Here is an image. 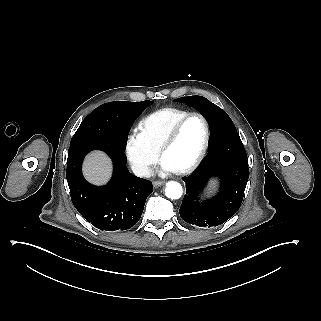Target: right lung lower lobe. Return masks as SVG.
Wrapping results in <instances>:
<instances>
[{
    "instance_id": "obj_1",
    "label": "right lung lower lobe",
    "mask_w": 321,
    "mask_h": 321,
    "mask_svg": "<svg viewBox=\"0 0 321 321\" xmlns=\"http://www.w3.org/2000/svg\"><path fill=\"white\" fill-rule=\"evenodd\" d=\"M99 108L114 144L83 143L70 147L66 178L72 203L88 222L104 231L126 230L139 221L146 198L153 191L150 181L127 170L124 154L130 128L144 110L125 101L106 103ZM92 150H102L113 160V177L105 186H93L82 175L83 159Z\"/></svg>"
}]
</instances>
